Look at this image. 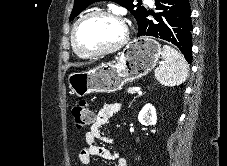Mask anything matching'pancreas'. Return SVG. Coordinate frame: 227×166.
Returning a JSON list of instances; mask_svg holds the SVG:
<instances>
[{
	"instance_id": "obj_1",
	"label": "pancreas",
	"mask_w": 227,
	"mask_h": 166,
	"mask_svg": "<svg viewBox=\"0 0 227 166\" xmlns=\"http://www.w3.org/2000/svg\"><path fill=\"white\" fill-rule=\"evenodd\" d=\"M133 89H134V87H129V88L127 89V93H130V94L135 93V92L133 91Z\"/></svg>"
}]
</instances>
